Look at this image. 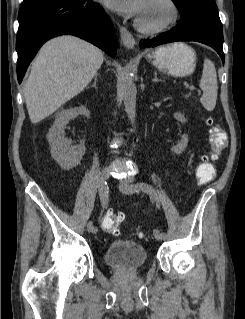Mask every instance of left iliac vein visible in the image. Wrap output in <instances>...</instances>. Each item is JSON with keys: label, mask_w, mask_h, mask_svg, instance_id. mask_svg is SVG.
<instances>
[{"label": "left iliac vein", "mask_w": 245, "mask_h": 319, "mask_svg": "<svg viewBox=\"0 0 245 319\" xmlns=\"http://www.w3.org/2000/svg\"><path fill=\"white\" fill-rule=\"evenodd\" d=\"M132 182L133 178L131 176H127L126 178L122 179L119 185L120 190L125 193H133L134 190H128V187L132 185ZM154 236L158 241L164 240V237L160 235V232L157 229L154 230Z\"/></svg>", "instance_id": "4c4485c4"}]
</instances>
